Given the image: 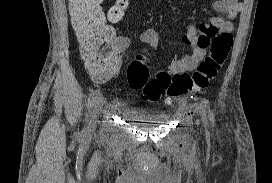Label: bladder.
<instances>
[{
    "label": "bladder",
    "instance_id": "31cf9c89",
    "mask_svg": "<svg viewBox=\"0 0 272 183\" xmlns=\"http://www.w3.org/2000/svg\"><path fill=\"white\" fill-rule=\"evenodd\" d=\"M124 115L135 125L141 128H151L162 125L166 122L165 117H152V116H136L130 112L124 113Z\"/></svg>",
    "mask_w": 272,
    "mask_h": 183
}]
</instances>
